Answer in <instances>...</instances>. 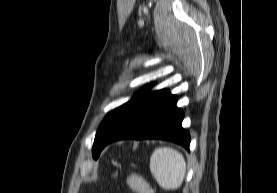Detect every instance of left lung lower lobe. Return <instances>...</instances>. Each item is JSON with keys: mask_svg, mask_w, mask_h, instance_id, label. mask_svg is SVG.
Segmentation results:
<instances>
[{"mask_svg": "<svg viewBox=\"0 0 277 193\" xmlns=\"http://www.w3.org/2000/svg\"><path fill=\"white\" fill-rule=\"evenodd\" d=\"M176 101L167 89L143 95L115 118L100 141L101 150L122 139H163L189 149L190 135L181 126L184 115Z\"/></svg>", "mask_w": 277, "mask_h": 193, "instance_id": "obj_1", "label": "left lung lower lobe"}]
</instances>
